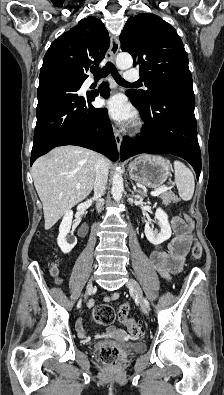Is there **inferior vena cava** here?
I'll return each mask as SVG.
<instances>
[{"mask_svg":"<svg viewBox=\"0 0 224 395\" xmlns=\"http://www.w3.org/2000/svg\"><path fill=\"white\" fill-rule=\"evenodd\" d=\"M108 163L106 159L99 155L97 165H96V172H95V181H94V198L98 200L96 204L97 211H101V197L104 195L107 180H108Z\"/></svg>","mask_w":224,"mask_h":395,"instance_id":"obj_1","label":"inferior vena cava"}]
</instances>
